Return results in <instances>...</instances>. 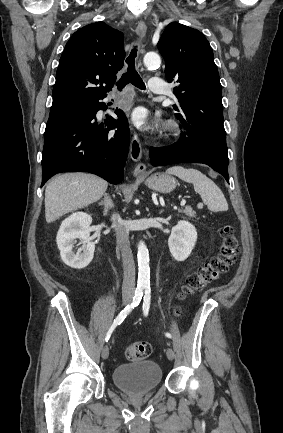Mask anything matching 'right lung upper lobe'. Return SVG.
I'll return each instance as SVG.
<instances>
[{
  "instance_id": "cb5924a9",
  "label": "right lung upper lobe",
  "mask_w": 283,
  "mask_h": 433,
  "mask_svg": "<svg viewBox=\"0 0 283 433\" xmlns=\"http://www.w3.org/2000/svg\"><path fill=\"white\" fill-rule=\"evenodd\" d=\"M125 58L123 34L104 22L75 32L61 55L50 111L105 96ZM100 85L95 87V85Z\"/></svg>"
}]
</instances>
